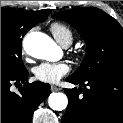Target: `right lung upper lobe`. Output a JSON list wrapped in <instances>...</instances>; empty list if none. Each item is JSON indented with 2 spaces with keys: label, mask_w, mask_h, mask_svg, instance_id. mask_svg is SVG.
<instances>
[{
  "label": "right lung upper lobe",
  "mask_w": 123,
  "mask_h": 123,
  "mask_svg": "<svg viewBox=\"0 0 123 123\" xmlns=\"http://www.w3.org/2000/svg\"><path fill=\"white\" fill-rule=\"evenodd\" d=\"M13 10H16L20 17H23V18L31 17L34 19L41 20V22L46 20L48 15L51 12L50 9H44V10H39V11H24V10H18V9H13Z\"/></svg>",
  "instance_id": "1"
}]
</instances>
